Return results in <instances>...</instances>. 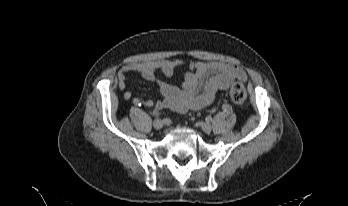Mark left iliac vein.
<instances>
[{
  "instance_id": "4c4485c4",
  "label": "left iliac vein",
  "mask_w": 348,
  "mask_h": 206,
  "mask_svg": "<svg viewBox=\"0 0 348 206\" xmlns=\"http://www.w3.org/2000/svg\"><path fill=\"white\" fill-rule=\"evenodd\" d=\"M199 126L205 133H210L212 131L211 124L207 122H199Z\"/></svg>"
}]
</instances>
